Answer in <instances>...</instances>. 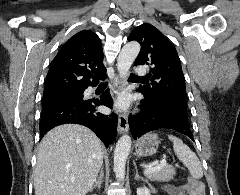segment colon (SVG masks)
Wrapping results in <instances>:
<instances>
[{"mask_svg": "<svg viewBox=\"0 0 240 195\" xmlns=\"http://www.w3.org/2000/svg\"><path fill=\"white\" fill-rule=\"evenodd\" d=\"M186 183H190V187L193 188V191H197V193H202V180L195 181L194 177L190 175L186 176Z\"/></svg>", "mask_w": 240, "mask_h": 195, "instance_id": "obj_1", "label": "colon"}]
</instances>
